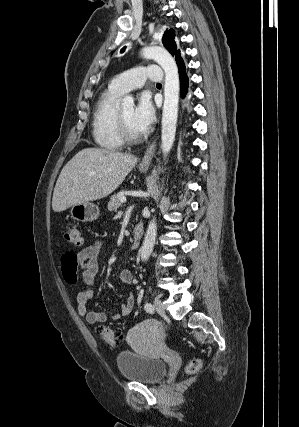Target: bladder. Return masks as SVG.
<instances>
[{
  "mask_svg": "<svg viewBox=\"0 0 299 427\" xmlns=\"http://www.w3.org/2000/svg\"><path fill=\"white\" fill-rule=\"evenodd\" d=\"M116 364L123 378L144 384L157 383L167 374L163 360L127 350L117 354Z\"/></svg>",
  "mask_w": 299,
  "mask_h": 427,
  "instance_id": "obj_1",
  "label": "bladder"
}]
</instances>
